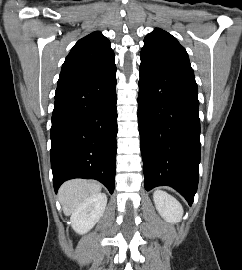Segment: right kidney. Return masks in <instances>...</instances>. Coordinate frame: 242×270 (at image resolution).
Returning <instances> with one entry per match:
<instances>
[{"mask_svg":"<svg viewBox=\"0 0 242 270\" xmlns=\"http://www.w3.org/2000/svg\"><path fill=\"white\" fill-rule=\"evenodd\" d=\"M107 204L104 193H97L84 200L71 215V226L78 234H85L100 220Z\"/></svg>","mask_w":242,"mask_h":270,"instance_id":"ca27d5eb","label":"right kidney"}]
</instances>
